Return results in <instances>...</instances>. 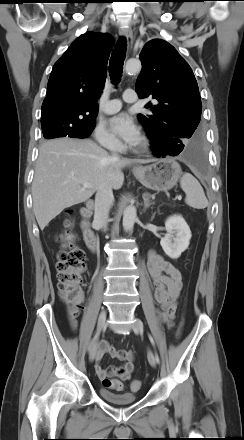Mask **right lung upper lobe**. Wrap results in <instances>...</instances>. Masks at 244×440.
<instances>
[{
	"mask_svg": "<svg viewBox=\"0 0 244 440\" xmlns=\"http://www.w3.org/2000/svg\"><path fill=\"white\" fill-rule=\"evenodd\" d=\"M113 44L110 34L94 32L71 44L52 69L41 121L65 120L76 126L95 121Z\"/></svg>",
	"mask_w": 244,
	"mask_h": 440,
	"instance_id": "cb5924a9",
	"label": "right lung upper lobe"
}]
</instances>
